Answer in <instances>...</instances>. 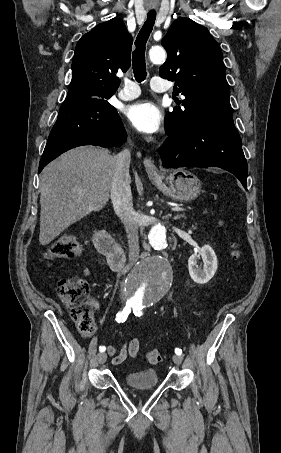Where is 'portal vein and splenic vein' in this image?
Here are the masks:
<instances>
[{
	"label": "portal vein and splenic vein",
	"mask_w": 281,
	"mask_h": 453,
	"mask_svg": "<svg viewBox=\"0 0 281 453\" xmlns=\"http://www.w3.org/2000/svg\"><path fill=\"white\" fill-rule=\"evenodd\" d=\"M171 210H173V212H175V213H176V212L178 213V212H184V211H185V208H184V207H179L178 205H177V206L175 205V206L173 207V209H171ZM187 210H188V209H187Z\"/></svg>",
	"instance_id": "obj_1"
}]
</instances>
